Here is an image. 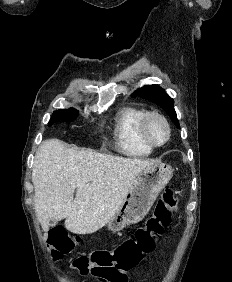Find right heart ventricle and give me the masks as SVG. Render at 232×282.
I'll use <instances>...</instances> for the list:
<instances>
[{
	"label": "right heart ventricle",
	"instance_id": "right-heart-ventricle-1",
	"mask_svg": "<svg viewBox=\"0 0 232 282\" xmlns=\"http://www.w3.org/2000/svg\"><path fill=\"white\" fill-rule=\"evenodd\" d=\"M145 111L135 106H122L113 126L114 146L117 152L128 157H144L153 149L144 144L138 135V123Z\"/></svg>",
	"mask_w": 232,
	"mask_h": 282
}]
</instances>
